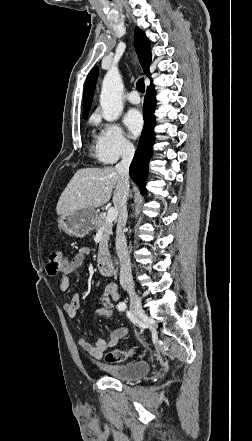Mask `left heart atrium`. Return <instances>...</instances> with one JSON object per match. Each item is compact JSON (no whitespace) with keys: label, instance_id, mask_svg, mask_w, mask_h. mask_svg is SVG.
<instances>
[{"label":"left heart atrium","instance_id":"39dd6f15","mask_svg":"<svg viewBox=\"0 0 252 441\" xmlns=\"http://www.w3.org/2000/svg\"><path fill=\"white\" fill-rule=\"evenodd\" d=\"M124 123L133 137L137 136L143 128V118L137 110L129 111L124 118Z\"/></svg>","mask_w":252,"mask_h":441}]
</instances>
